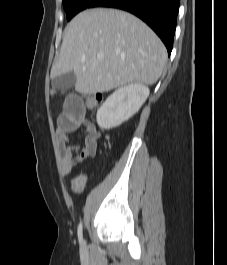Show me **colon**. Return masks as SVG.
I'll list each match as a JSON object with an SVG mask.
<instances>
[{
	"mask_svg": "<svg viewBox=\"0 0 227 265\" xmlns=\"http://www.w3.org/2000/svg\"><path fill=\"white\" fill-rule=\"evenodd\" d=\"M83 99H84V102H86V108L88 110H92L96 108L101 101V97L99 95H86V96H83Z\"/></svg>",
	"mask_w": 227,
	"mask_h": 265,
	"instance_id": "colon-1",
	"label": "colon"
}]
</instances>
